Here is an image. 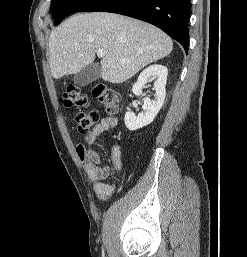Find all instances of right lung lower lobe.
I'll list each match as a JSON object with an SVG mask.
<instances>
[{"instance_id": "1", "label": "right lung lower lobe", "mask_w": 247, "mask_h": 257, "mask_svg": "<svg viewBox=\"0 0 247 257\" xmlns=\"http://www.w3.org/2000/svg\"><path fill=\"white\" fill-rule=\"evenodd\" d=\"M79 12H112L162 29L188 52L190 0H92Z\"/></svg>"}]
</instances>
